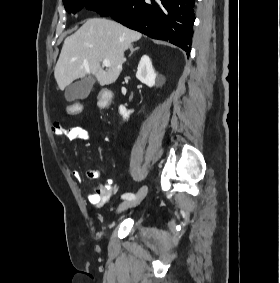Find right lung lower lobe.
<instances>
[{"mask_svg":"<svg viewBox=\"0 0 280 283\" xmlns=\"http://www.w3.org/2000/svg\"><path fill=\"white\" fill-rule=\"evenodd\" d=\"M194 0H130L110 16L117 22L153 39L191 51Z\"/></svg>","mask_w":280,"mask_h":283,"instance_id":"1","label":"right lung lower lobe"}]
</instances>
